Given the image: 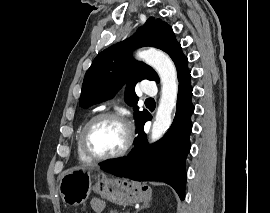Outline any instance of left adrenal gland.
<instances>
[{
    "label": "left adrenal gland",
    "instance_id": "left-adrenal-gland-1",
    "mask_svg": "<svg viewBox=\"0 0 270 213\" xmlns=\"http://www.w3.org/2000/svg\"><path fill=\"white\" fill-rule=\"evenodd\" d=\"M149 207V203H145V204H143L142 206H141V208H140V210L141 209H144V208H148ZM137 213V212H136Z\"/></svg>",
    "mask_w": 270,
    "mask_h": 213
}]
</instances>
